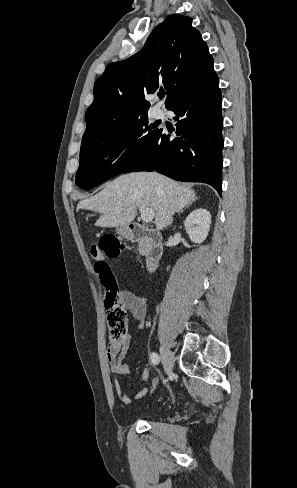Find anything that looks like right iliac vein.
Here are the masks:
<instances>
[{"label":"right iliac vein","mask_w":297,"mask_h":488,"mask_svg":"<svg viewBox=\"0 0 297 488\" xmlns=\"http://www.w3.org/2000/svg\"><path fill=\"white\" fill-rule=\"evenodd\" d=\"M160 353L162 357V361L164 364V369L166 374L170 373L172 371L173 365H174V355L173 353L164 345L160 346Z\"/></svg>","instance_id":"obj_1"}]
</instances>
